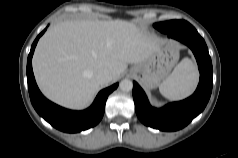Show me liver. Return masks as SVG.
I'll use <instances>...</instances> for the list:
<instances>
[{
    "mask_svg": "<svg viewBox=\"0 0 238 158\" xmlns=\"http://www.w3.org/2000/svg\"><path fill=\"white\" fill-rule=\"evenodd\" d=\"M163 42L125 20L59 22L38 42L34 75L50 100L83 109L102 86L96 79L99 70H109L115 80L128 64L141 63Z\"/></svg>",
    "mask_w": 238,
    "mask_h": 158,
    "instance_id": "liver-1",
    "label": "liver"
}]
</instances>
